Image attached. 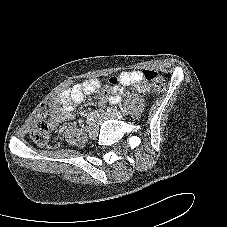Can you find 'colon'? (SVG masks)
Wrapping results in <instances>:
<instances>
[{"label": "colon", "mask_w": 227, "mask_h": 227, "mask_svg": "<svg viewBox=\"0 0 227 227\" xmlns=\"http://www.w3.org/2000/svg\"><path fill=\"white\" fill-rule=\"evenodd\" d=\"M143 78L150 84L152 89L156 92H161L165 88V79L157 71L154 70H144ZM108 83L110 85H116L118 83V78L113 76L109 79ZM55 103L52 100H47L41 105V109L44 113L53 110ZM32 140L39 146H46L50 140L49 128L46 122L38 121L31 131Z\"/></svg>", "instance_id": "5ec220e1"}]
</instances>
